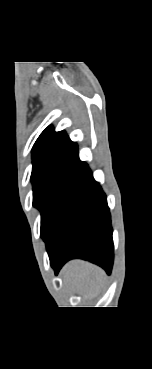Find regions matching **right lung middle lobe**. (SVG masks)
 I'll return each instance as SVG.
<instances>
[{
	"label": "right lung middle lobe",
	"mask_w": 152,
	"mask_h": 369,
	"mask_svg": "<svg viewBox=\"0 0 152 369\" xmlns=\"http://www.w3.org/2000/svg\"><path fill=\"white\" fill-rule=\"evenodd\" d=\"M79 164H62L32 170L33 205L41 211V237L49 233L57 207L80 170Z\"/></svg>",
	"instance_id": "right-lung-middle-lobe-1"
}]
</instances>
